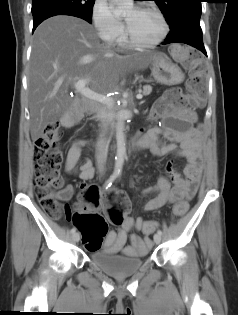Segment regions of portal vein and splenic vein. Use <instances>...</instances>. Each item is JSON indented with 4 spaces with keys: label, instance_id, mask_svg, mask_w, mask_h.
Wrapping results in <instances>:
<instances>
[{
    "label": "portal vein and splenic vein",
    "instance_id": "1",
    "mask_svg": "<svg viewBox=\"0 0 238 315\" xmlns=\"http://www.w3.org/2000/svg\"><path fill=\"white\" fill-rule=\"evenodd\" d=\"M88 79H82L77 81L74 86L77 92H79L81 95H83L86 98L93 99V100H98V101H104L106 104H111L112 99L109 97H106L102 94L96 93L93 90L89 89L86 87ZM143 95L142 94H137L136 98L137 99H142Z\"/></svg>",
    "mask_w": 238,
    "mask_h": 315
}]
</instances>
